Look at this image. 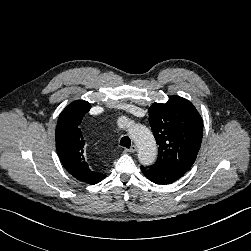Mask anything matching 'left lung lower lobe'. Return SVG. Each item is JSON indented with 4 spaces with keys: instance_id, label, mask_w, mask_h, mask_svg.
<instances>
[{
    "instance_id": "1",
    "label": "left lung lower lobe",
    "mask_w": 251,
    "mask_h": 251,
    "mask_svg": "<svg viewBox=\"0 0 251 251\" xmlns=\"http://www.w3.org/2000/svg\"><path fill=\"white\" fill-rule=\"evenodd\" d=\"M143 174L156 184H170L181 178L184 174L156 166H141Z\"/></svg>"
}]
</instances>
